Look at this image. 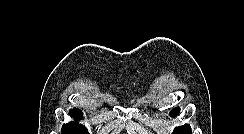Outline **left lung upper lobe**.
Wrapping results in <instances>:
<instances>
[{"mask_svg": "<svg viewBox=\"0 0 244 134\" xmlns=\"http://www.w3.org/2000/svg\"><path fill=\"white\" fill-rule=\"evenodd\" d=\"M180 108H174L171 112V116H177L179 114ZM172 134H192L190 125L185 124L183 126L176 127Z\"/></svg>", "mask_w": 244, "mask_h": 134, "instance_id": "left-lung-upper-lobe-1", "label": "left lung upper lobe"}]
</instances>
